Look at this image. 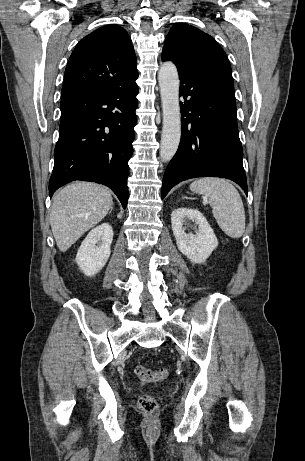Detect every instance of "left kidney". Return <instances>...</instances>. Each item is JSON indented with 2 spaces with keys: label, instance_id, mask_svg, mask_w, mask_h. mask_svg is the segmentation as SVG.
Listing matches in <instances>:
<instances>
[{
  "label": "left kidney",
  "instance_id": "5707ae66",
  "mask_svg": "<svg viewBox=\"0 0 305 461\" xmlns=\"http://www.w3.org/2000/svg\"><path fill=\"white\" fill-rule=\"evenodd\" d=\"M171 223L179 251L192 263L205 262L218 246L211 226L199 210L177 208L171 214ZM189 228L195 230V234L187 233Z\"/></svg>",
  "mask_w": 305,
  "mask_h": 461
}]
</instances>
